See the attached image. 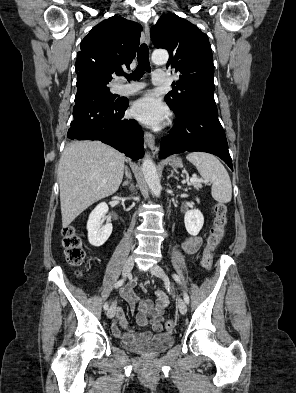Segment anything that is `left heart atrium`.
Masks as SVG:
<instances>
[{
	"mask_svg": "<svg viewBox=\"0 0 296 393\" xmlns=\"http://www.w3.org/2000/svg\"><path fill=\"white\" fill-rule=\"evenodd\" d=\"M131 116L138 121L157 128L163 125L168 117V109L153 93H147L137 99L131 106Z\"/></svg>",
	"mask_w": 296,
	"mask_h": 393,
	"instance_id": "left-heart-atrium-1",
	"label": "left heart atrium"
}]
</instances>
